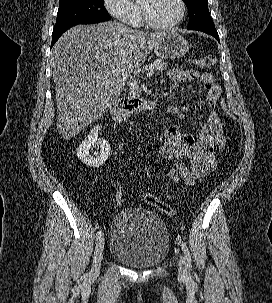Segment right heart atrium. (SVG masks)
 Here are the masks:
<instances>
[{"label":"right heart atrium","instance_id":"1","mask_svg":"<svg viewBox=\"0 0 272 303\" xmlns=\"http://www.w3.org/2000/svg\"><path fill=\"white\" fill-rule=\"evenodd\" d=\"M104 6L119 21L135 24L134 3L131 0H104Z\"/></svg>","mask_w":272,"mask_h":303}]
</instances>
